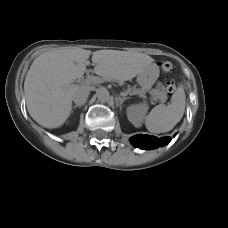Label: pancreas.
Returning <instances> with one entry per match:
<instances>
[{"mask_svg": "<svg viewBox=\"0 0 228 228\" xmlns=\"http://www.w3.org/2000/svg\"><path fill=\"white\" fill-rule=\"evenodd\" d=\"M127 92L128 93H131V94H137V93H145V90H143V89L139 90V89H135V88H129L127 90ZM151 94L153 96H156L157 95V93L155 91H153V90L151 91Z\"/></svg>", "mask_w": 228, "mask_h": 228, "instance_id": "cf45deb5", "label": "pancreas"}]
</instances>
